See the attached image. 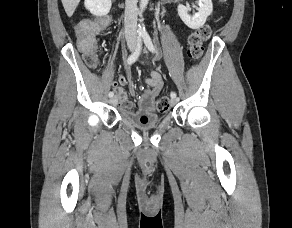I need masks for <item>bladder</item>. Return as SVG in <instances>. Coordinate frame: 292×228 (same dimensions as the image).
<instances>
[{
	"instance_id": "31cf9c89",
	"label": "bladder",
	"mask_w": 292,
	"mask_h": 228,
	"mask_svg": "<svg viewBox=\"0 0 292 228\" xmlns=\"http://www.w3.org/2000/svg\"><path fill=\"white\" fill-rule=\"evenodd\" d=\"M123 118L131 125L141 129L155 127L161 122V118L153 112L145 114L124 113Z\"/></svg>"
}]
</instances>
